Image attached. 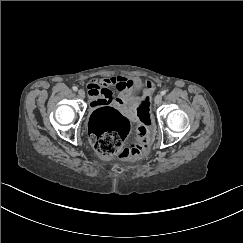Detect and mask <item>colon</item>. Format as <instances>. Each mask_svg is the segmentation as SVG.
I'll list each match as a JSON object with an SVG mask.
<instances>
[{"instance_id": "1", "label": "colon", "mask_w": 243, "mask_h": 243, "mask_svg": "<svg viewBox=\"0 0 243 243\" xmlns=\"http://www.w3.org/2000/svg\"><path fill=\"white\" fill-rule=\"evenodd\" d=\"M136 112L142 125L137 138L127 146L125 144L131 135V125L126 117L108 105L99 106L92 112L88 126L92 143L100 155L135 160L147 152L153 134L149 96L143 97Z\"/></svg>"}]
</instances>
